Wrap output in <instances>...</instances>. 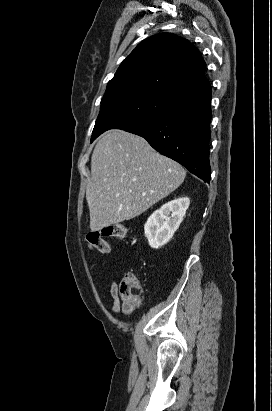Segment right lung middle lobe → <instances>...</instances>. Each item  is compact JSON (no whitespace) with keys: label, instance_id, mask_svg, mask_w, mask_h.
Listing matches in <instances>:
<instances>
[{"label":"right lung middle lobe","instance_id":"right-lung-middle-lobe-1","mask_svg":"<svg viewBox=\"0 0 272 411\" xmlns=\"http://www.w3.org/2000/svg\"><path fill=\"white\" fill-rule=\"evenodd\" d=\"M178 106L176 101L164 99L159 94L144 89L105 93L92 139L111 128L127 130Z\"/></svg>","mask_w":272,"mask_h":411}]
</instances>
